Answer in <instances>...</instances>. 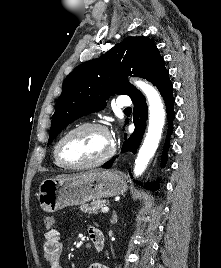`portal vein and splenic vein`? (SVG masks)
<instances>
[{
  "mask_svg": "<svg viewBox=\"0 0 221 268\" xmlns=\"http://www.w3.org/2000/svg\"><path fill=\"white\" fill-rule=\"evenodd\" d=\"M109 211V208L104 206V207H101V212H108Z\"/></svg>",
  "mask_w": 221,
  "mask_h": 268,
  "instance_id": "portal-vein-and-splenic-vein-1",
  "label": "portal vein and splenic vein"
}]
</instances>
